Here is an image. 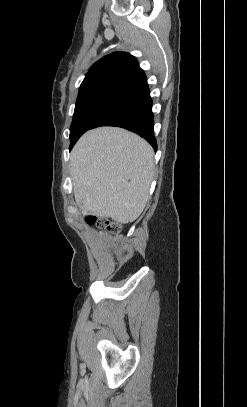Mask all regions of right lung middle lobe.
Returning <instances> with one entry per match:
<instances>
[{
    "mask_svg": "<svg viewBox=\"0 0 247 407\" xmlns=\"http://www.w3.org/2000/svg\"><path fill=\"white\" fill-rule=\"evenodd\" d=\"M137 93V91L131 89L112 88L77 100L70 127V149L80 136L91 129L98 120Z\"/></svg>",
    "mask_w": 247,
    "mask_h": 407,
    "instance_id": "1",
    "label": "right lung middle lobe"
}]
</instances>
